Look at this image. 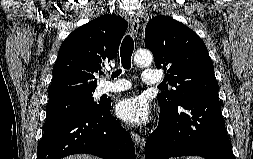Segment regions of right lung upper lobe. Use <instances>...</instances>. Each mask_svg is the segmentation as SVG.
<instances>
[{
  "label": "right lung upper lobe",
  "mask_w": 253,
  "mask_h": 159,
  "mask_svg": "<svg viewBox=\"0 0 253 159\" xmlns=\"http://www.w3.org/2000/svg\"><path fill=\"white\" fill-rule=\"evenodd\" d=\"M127 27L123 18L106 14L73 31L59 49L49 100L95 91L94 74L116 56Z\"/></svg>",
  "instance_id": "obj_1"
}]
</instances>
